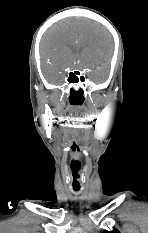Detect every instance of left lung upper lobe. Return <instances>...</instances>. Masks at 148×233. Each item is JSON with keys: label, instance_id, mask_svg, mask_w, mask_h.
<instances>
[{"label": "left lung upper lobe", "instance_id": "left-lung-upper-lobe-1", "mask_svg": "<svg viewBox=\"0 0 148 233\" xmlns=\"http://www.w3.org/2000/svg\"><path fill=\"white\" fill-rule=\"evenodd\" d=\"M102 233H120L117 229H113V231H104Z\"/></svg>", "mask_w": 148, "mask_h": 233}]
</instances>
